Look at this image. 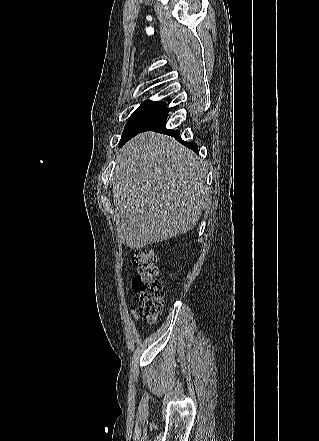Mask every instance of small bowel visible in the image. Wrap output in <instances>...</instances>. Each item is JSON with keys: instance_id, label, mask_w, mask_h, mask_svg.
<instances>
[{"instance_id": "small-bowel-1", "label": "small bowel", "mask_w": 319, "mask_h": 441, "mask_svg": "<svg viewBox=\"0 0 319 441\" xmlns=\"http://www.w3.org/2000/svg\"><path fill=\"white\" fill-rule=\"evenodd\" d=\"M130 313H131V315H132V317H133L134 319H138V314H137V312H136L135 310L130 309Z\"/></svg>"}]
</instances>
